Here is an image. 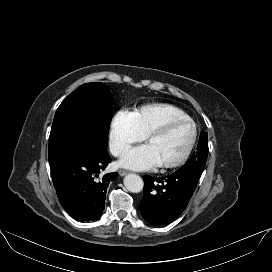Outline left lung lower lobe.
<instances>
[{"mask_svg": "<svg viewBox=\"0 0 272 272\" xmlns=\"http://www.w3.org/2000/svg\"><path fill=\"white\" fill-rule=\"evenodd\" d=\"M202 172L177 170L166 177L144 176V196L139 204L143 218L152 225H166L186 208Z\"/></svg>", "mask_w": 272, "mask_h": 272, "instance_id": "left-lung-lower-lobe-1", "label": "left lung lower lobe"}]
</instances>
